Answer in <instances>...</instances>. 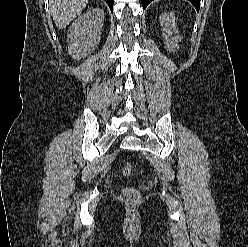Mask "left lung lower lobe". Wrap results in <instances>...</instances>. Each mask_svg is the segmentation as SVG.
I'll return each instance as SVG.
<instances>
[{"mask_svg": "<svg viewBox=\"0 0 248 247\" xmlns=\"http://www.w3.org/2000/svg\"><path fill=\"white\" fill-rule=\"evenodd\" d=\"M153 0H141L142 2V7L145 9L147 7V5ZM197 10H199V6H200V0H189Z\"/></svg>", "mask_w": 248, "mask_h": 247, "instance_id": "1", "label": "left lung lower lobe"}]
</instances>
